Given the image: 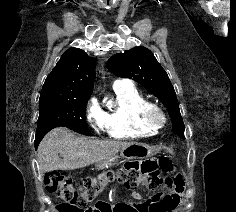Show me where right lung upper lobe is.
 Instances as JSON below:
<instances>
[{"label": "right lung upper lobe", "instance_id": "1", "mask_svg": "<svg viewBox=\"0 0 236 212\" xmlns=\"http://www.w3.org/2000/svg\"><path fill=\"white\" fill-rule=\"evenodd\" d=\"M95 59L79 48L66 50L42 87L40 99L90 96Z\"/></svg>", "mask_w": 236, "mask_h": 212}]
</instances>
